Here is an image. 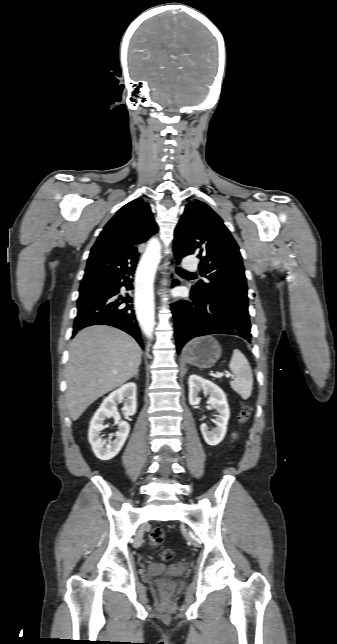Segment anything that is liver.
I'll return each mask as SVG.
<instances>
[{"label": "liver", "mask_w": 337, "mask_h": 644, "mask_svg": "<svg viewBox=\"0 0 337 644\" xmlns=\"http://www.w3.org/2000/svg\"><path fill=\"white\" fill-rule=\"evenodd\" d=\"M142 350L127 333L110 326H90L72 340L66 367V405L73 421L99 397L131 379Z\"/></svg>", "instance_id": "obj_1"}]
</instances>
